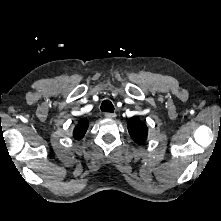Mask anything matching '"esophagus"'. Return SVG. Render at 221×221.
I'll return each mask as SVG.
<instances>
[{
  "instance_id": "obj_1",
  "label": "esophagus",
  "mask_w": 221,
  "mask_h": 221,
  "mask_svg": "<svg viewBox=\"0 0 221 221\" xmlns=\"http://www.w3.org/2000/svg\"><path fill=\"white\" fill-rule=\"evenodd\" d=\"M105 117L106 118H115L116 117V114L115 113H105Z\"/></svg>"
}]
</instances>
